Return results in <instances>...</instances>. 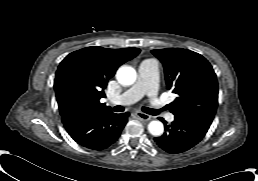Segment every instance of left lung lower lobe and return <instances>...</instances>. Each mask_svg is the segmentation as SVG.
Masks as SVG:
<instances>
[{
	"label": "left lung lower lobe",
	"instance_id": "obj_1",
	"mask_svg": "<svg viewBox=\"0 0 258 181\" xmlns=\"http://www.w3.org/2000/svg\"><path fill=\"white\" fill-rule=\"evenodd\" d=\"M165 125V133L154 141L164 151L176 154L195 146L207 133L212 121L194 116H175L170 126Z\"/></svg>",
	"mask_w": 258,
	"mask_h": 181
}]
</instances>
